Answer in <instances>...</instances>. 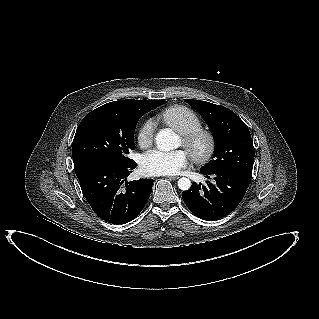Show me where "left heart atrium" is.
Segmentation results:
<instances>
[{
    "mask_svg": "<svg viewBox=\"0 0 319 319\" xmlns=\"http://www.w3.org/2000/svg\"><path fill=\"white\" fill-rule=\"evenodd\" d=\"M187 163L188 155L183 150H151L141 157L140 169L148 176L172 175L178 173Z\"/></svg>",
    "mask_w": 319,
    "mask_h": 319,
    "instance_id": "39dd6f15",
    "label": "left heart atrium"
}]
</instances>
